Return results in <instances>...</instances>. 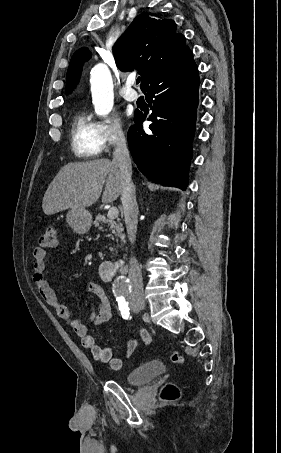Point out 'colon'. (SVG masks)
<instances>
[{"instance_id": "obj_1", "label": "colon", "mask_w": 281, "mask_h": 453, "mask_svg": "<svg viewBox=\"0 0 281 453\" xmlns=\"http://www.w3.org/2000/svg\"><path fill=\"white\" fill-rule=\"evenodd\" d=\"M60 232V226H47L45 232L39 239V247H43L44 251L56 247L57 237ZM171 361L176 365H183L186 362V356L182 352L172 351L170 353ZM180 397V392L176 386L165 385L160 391V399L163 402H172Z\"/></svg>"}]
</instances>
